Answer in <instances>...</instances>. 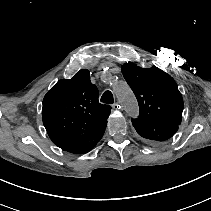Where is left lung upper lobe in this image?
<instances>
[{
	"mask_svg": "<svg viewBox=\"0 0 211 211\" xmlns=\"http://www.w3.org/2000/svg\"><path fill=\"white\" fill-rule=\"evenodd\" d=\"M122 73L139 104V116L131 120L137 133L153 146L171 138L183 112V98L175 80L155 66L143 69L133 63L124 64Z\"/></svg>",
	"mask_w": 211,
	"mask_h": 211,
	"instance_id": "1",
	"label": "left lung upper lobe"
}]
</instances>
